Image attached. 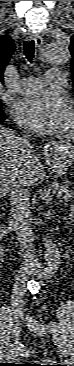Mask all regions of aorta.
Returning a JSON list of instances; mask_svg holds the SVG:
<instances>
[{"mask_svg": "<svg viewBox=\"0 0 74 366\" xmlns=\"http://www.w3.org/2000/svg\"><path fill=\"white\" fill-rule=\"evenodd\" d=\"M70 53L68 44L60 42H51L43 46L39 56L38 62L49 64L52 66H62L69 61ZM45 260L48 268L47 272L52 273L58 263V249L54 241L50 238H45Z\"/></svg>", "mask_w": 74, "mask_h": 366, "instance_id": "1", "label": "aorta"}]
</instances>
